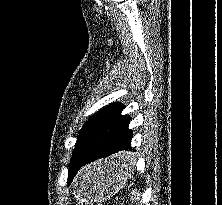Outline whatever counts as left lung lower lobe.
Here are the masks:
<instances>
[{
  "label": "left lung lower lobe",
  "mask_w": 222,
  "mask_h": 205,
  "mask_svg": "<svg viewBox=\"0 0 222 205\" xmlns=\"http://www.w3.org/2000/svg\"><path fill=\"white\" fill-rule=\"evenodd\" d=\"M123 108L124 105L117 103L111 114L104 122L95 143L87 155L79 161L76 160L72 163L71 175L68 179V184L72 182L73 178L81 167L95 160L115 154L110 161L115 164L126 163L125 159L121 155V152L132 150V131L128 129L130 117L121 115Z\"/></svg>",
  "instance_id": "0a47b994"
}]
</instances>
